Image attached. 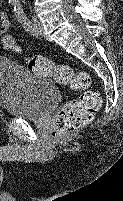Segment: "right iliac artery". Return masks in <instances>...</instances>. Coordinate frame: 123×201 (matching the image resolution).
Wrapping results in <instances>:
<instances>
[{
    "label": "right iliac artery",
    "mask_w": 123,
    "mask_h": 201,
    "mask_svg": "<svg viewBox=\"0 0 123 201\" xmlns=\"http://www.w3.org/2000/svg\"><path fill=\"white\" fill-rule=\"evenodd\" d=\"M19 2V0H9V3L12 5H16Z\"/></svg>",
    "instance_id": "1"
}]
</instances>
